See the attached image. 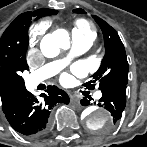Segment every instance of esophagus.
I'll return each instance as SVG.
<instances>
[{
  "label": "esophagus",
  "instance_id": "1",
  "mask_svg": "<svg viewBox=\"0 0 147 147\" xmlns=\"http://www.w3.org/2000/svg\"><path fill=\"white\" fill-rule=\"evenodd\" d=\"M70 101H71L72 104L78 105L80 103V98L78 96L71 95Z\"/></svg>",
  "mask_w": 147,
  "mask_h": 147
}]
</instances>
